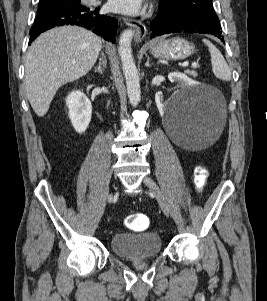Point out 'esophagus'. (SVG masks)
I'll list each match as a JSON object with an SVG mask.
<instances>
[{"instance_id": "1", "label": "esophagus", "mask_w": 267, "mask_h": 301, "mask_svg": "<svg viewBox=\"0 0 267 301\" xmlns=\"http://www.w3.org/2000/svg\"><path fill=\"white\" fill-rule=\"evenodd\" d=\"M123 21L126 25L132 27L135 30L134 39L136 42L141 41L146 36L147 29L141 21L129 18H124Z\"/></svg>"}]
</instances>
